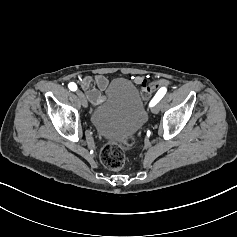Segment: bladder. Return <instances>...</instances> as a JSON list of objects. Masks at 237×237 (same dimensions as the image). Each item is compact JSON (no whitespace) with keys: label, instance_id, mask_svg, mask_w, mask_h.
<instances>
[{"label":"bladder","instance_id":"obj_1","mask_svg":"<svg viewBox=\"0 0 237 237\" xmlns=\"http://www.w3.org/2000/svg\"><path fill=\"white\" fill-rule=\"evenodd\" d=\"M144 100L137 87L124 78L116 79L107 99L91 114L97 133L110 141H124L138 131L146 120Z\"/></svg>","mask_w":237,"mask_h":237}]
</instances>
